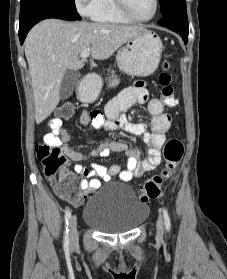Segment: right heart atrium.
<instances>
[{"label":"right heart atrium","mask_w":227,"mask_h":279,"mask_svg":"<svg viewBox=\"0 0 227 279\" xmlns=\"http://www.w3.org/2000/svg\"><path fill=\"white\" fill-rule=\"evenodd\" d=\"M76 7L84 15L92 16L99 7L101 0H74Z\"/></svg>","instance_id":"1"}]
</instances>
